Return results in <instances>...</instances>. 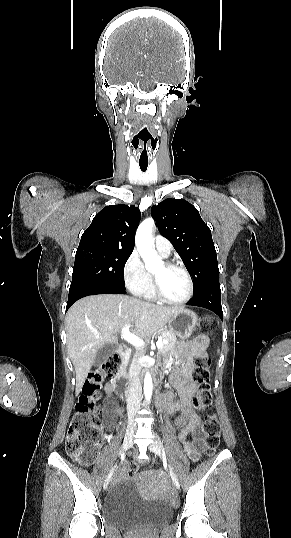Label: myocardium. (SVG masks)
Listing matches in <instances>:
<instances>
[{
	"mask_svg": "<svg viewBox=\"0 0 291 538\" xmlns=\"http://www.w3.org/2000/svg\"><path fill=\"white\" fill-rule=\"evenodd\" d=\"M163 265L166 269H178L184 273L188 282V291L182 299H179V300L169 299L164 295L158 277L152 274V287H153V292L156 298H158L160 301L164 303L171 304V305H181L188 302L194 293V282H193L190 272L182 264H179L176 262L166 261L163 263Z\"/></svg>",
	"mask_w": 291,
	"mask_h": 538,
	"instance_id": "f54148a6",
	"label": "myocardium"
}]
</instances>
